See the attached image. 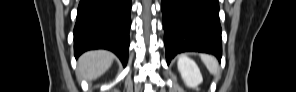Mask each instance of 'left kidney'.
<instances>
[{
	"mask_svg": "<svg viewBox=\"0 0 296 92\" xmlns=\"http://www.w3.org/2000/svg\"><path fill=\"white\" fill-rule=\"evenodd\" d=\"M177 67L186 86L197 89L198 85L203 82L200 70L192 59L180 56Z\"/></svg>",
	"mask_w": 296,
	"mask_h": 92,
	"instance_id": "5707ae66",
	"label": "left kidney"
}]
</instances>
